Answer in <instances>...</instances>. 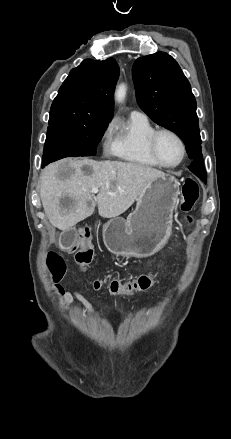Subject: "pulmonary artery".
<instances>
[{"label": "pulmonary artery", "instance_id": "1", "mask_svg": "<svg viewBox=\"0 0 231 439\" xmlns=\"http://www.w3.org/2000/svg\"><path fill=\"white\" fill-rule=\"evenodd\" d=\"M131 115H133V116L146 117V115H145L143 112L138 111V110H134V111H132V112H131Z\"/></svg>", "mask_w": 231, "mask_h": 439}]
</instances>
